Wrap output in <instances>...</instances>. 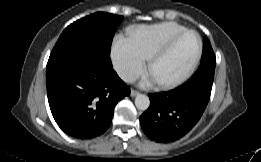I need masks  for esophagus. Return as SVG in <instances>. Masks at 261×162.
Segmentation results:
<instances>
[{
    "instance_id": "esophagus-1",
    "label": "esophagus",
    "mask_w": 261,
    "mask_h": 162,
    "mask_svg": "<svg viewBox=\"0 0 261 162\" xmlns=\"http://www.w3.org/2000/svg\"><path fill=\"white\" fill-rule=\"evenodd\" d=\"M138 94H139V92L136 91V90H134V89H132L131 92H130V95H131L132 97H135V96H137Z\"/></svg>"
}]
</instances>
